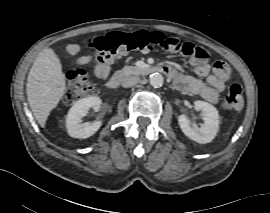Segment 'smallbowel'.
Returning a JSON list of instances; mask_svg holds the SVG:
<instances>
[{
    "mask_svg": "<svg viewBox=\"0 0 270 213\" xmlns=\"http://www.w3.org/2000/svg\"><path fill=\"white\" fill-rule=\"evenodd\" d=\"M163 48L175 51L177 49H168L167 46H162ZM66 51L70 55H75L79 53L80 46L78 44H70L67 46ZM93 56L83 55L77 59L78 65H85L92 61ZM191 65L194 68L195 74L199 78H204L206 83L199 78L179 74L175 68L170 65H166L168 69L172 72L171 79L174 80L175 86L188 93L196 94L204 98L205 100L215 103L218 100L219 94L224 90L225 84L228 81L227 78H222L217 75L214 69V65L210 64L207 59H197L196 57H191ZM95 76L106 81L111 75V67L106 63H97L94 66Z\"/></svg>",
    "mask_w": 270,
    "mask_h": 213,
    "instance_id": "small-bowel-1",
    "label": "small bowel"
}]
</instances>
